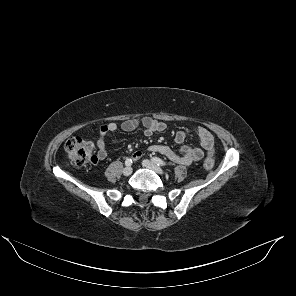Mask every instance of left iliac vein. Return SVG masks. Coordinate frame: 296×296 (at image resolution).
I'll list each match as a JSON object with an SVG mask.
<instances>
[{"instance_id": "left-iliac-vein-1", "label": "left iliac vein", "mask_w": 296, "mask_h": 296, "mask_svg": "<svg viewBox=\"0 0 296 296\" xmlns=\"http://www.w3.org/2000/svg\"><path fill=\"white\" fill-rule=\"evenodd\" d=\"M142 164L144 167L153 170L157 174H161V175L164 174L163 169H161L159 166H157L156 164H154L150 160L145 159V160H143Z\"/></svg>"}]
</instances>
